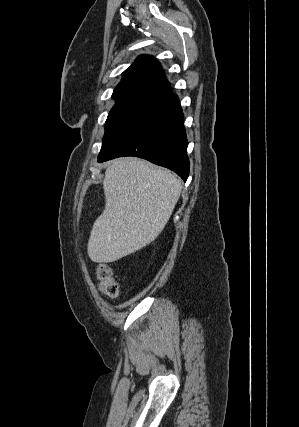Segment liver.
<instances>
[{"mask_svg":"<svg viewBox=\"0 0 299 427\" xmlns=\"http://www.w3.org/2000/svg\"><path fill=\"white\" fill-rule=\"evenodd\" d=\"M105 209L93 224L87 252L96 263H111L154 241L167 224L182 190L167 169L135 157L119 158L103 180Z\"/></svg>","mask_w":299,"mask_h":427,"instance_id":"1","label":"liver"}]
</instances>
